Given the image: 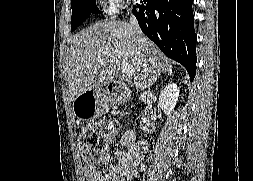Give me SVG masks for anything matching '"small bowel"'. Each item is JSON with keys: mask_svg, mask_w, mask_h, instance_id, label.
Masks as SVG:
<instances>
[{"mask_svg": "<svg viewBox=\"0 0 253 181\" xmlns=\"http://www.w3.org/2000/svg\"><path fill=\"white\" fill-rule=\"evenodd\" d=\"M121 150L115 152L116 164L110 165L105 172L93 166H86L84 173L88 181H127L137 177V167L144 158L146 142L138 139L132 131L121 135Z\"/></svg>", "mask_w": 253, "mask_h": 181, "instance_id": "1", "label": "small bowel"}]
</instances>
